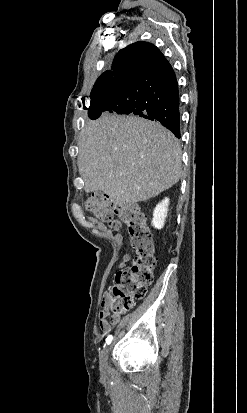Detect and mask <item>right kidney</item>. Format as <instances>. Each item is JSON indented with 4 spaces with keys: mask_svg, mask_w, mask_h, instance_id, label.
<instances>
[{
    "mask_svg": "<svg viewBox=\"0 0 247 413\" xmlns=\"http://www.w3.org/2000/svg\"><path fill=\"white\" fill-rule=\"evenodd\" d=\"M169 207V198H164L162 202H158L153 211L152 227L155 229H163L165 219L167 217V211Z\"/></svg>",
    "mask_w": 247,
    "mask_h": 413,
    "instance_id": "ca27d5eb",
    "label": "right kidney"
}]
</instances>
